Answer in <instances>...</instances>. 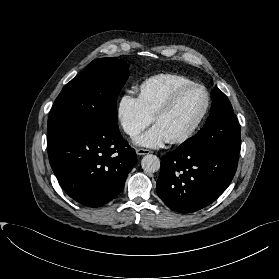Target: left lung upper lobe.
Returning a JSON list of instances; mask_svg holds the SVG:
<instances>
[{
    "instance_id": "1",
    "label": "left lung upper lobe",
    "mask_w": 279,
    "mask_h": 279,
    "mask_svg": "<svg viewBox=\"0 0 279 279\" xmlns=\"http://www.w3.org/2000/svg\"><path fill=\"white\" fill-rule=\"evenodd\" d=\"M211 113L203 128L178 148L195 150L215 147L239 153L241 149L240 126L227 96L217 87Z\"/></svg>"
}]
</instances>
